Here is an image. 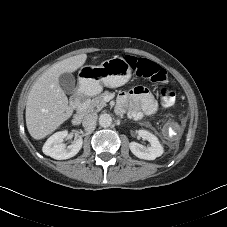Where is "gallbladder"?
I'll return each mask as SVG.
<instances>
[{"label":"gallbladder","instance_id":"gallbladder-1","mask_svg":"<svg viewBox=\"0 0 227 227\" xmlns=\"http://www.w3.org/2000/svg\"><path fill=\"white\" fill-rule=\"evenodd\" d=\"M59 86L66 94H72L76 90L75 77L71 73H63L59 76Z\"/></svg>","mask_w":227,"mask_h":227}]
</instances>
